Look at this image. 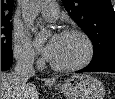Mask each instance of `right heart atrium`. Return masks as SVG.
Returning <instances> with one entry per match:
<instances>
[{
	"label": "right heart atrium",
	"instance_id": "obj_1",
	"mask_svg": "<svg viewBox=\"0 0 115 99\" xmlns=\"http://www.w3.org/2000/svg\"><path fill=\"white\" fill-rule=\"evenodd\" d=\"M13 54L17 62L25 66H32L39 62L38 57L27 38L20 33L14 35Z\"/></svg>",
	"mask_w": 115,
	"mask_h": 99
}]
</instances>
